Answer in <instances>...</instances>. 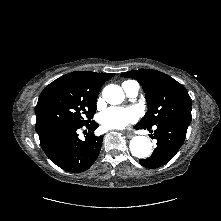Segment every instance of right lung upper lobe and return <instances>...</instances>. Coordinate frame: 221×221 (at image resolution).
I'll list each match as a JSON object with an SVG mask.
<instances>
[{
    "label": "right lung upper lobe",
    "mask_w": 221,
    "mask_h": 221,
    "mask_svg": "<svg viewBox=\"0 0 221 221\" xmlns=\"http://www.w3.org/2000/svg\"><path fill=\"white\" fill-rule=\"evenodd\" d=\"M114 73H96L88 71H76L61 76L62 79L72 81L77 87L91 96H98L100 88L105 81L113 77Z\"/></svg>",
    "instance_id": "cb5924a9"
}]
</instances>
